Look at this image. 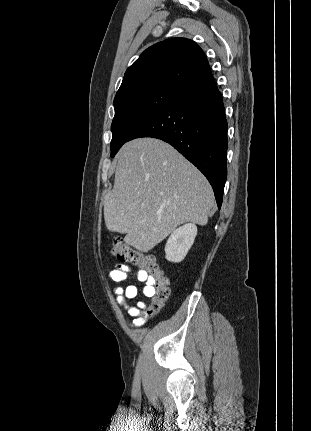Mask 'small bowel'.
<instances>
[{
    "instance_id": "small-bowel-1",
    "label": "small bowel",
    "mask_w": 311,
    "mask_h": 431,
    "mask_svg": "<svg viewBox=\"0 0 311 431\" xmlns=\"http://www.w3.org/2000/svg\"><path fill=\"white\" fill-rule=\"evenodd\" d=\"M130 276L135 277L139 282L144 283L143 294L146 297H151L153 293L152 281L145 270H135L126 265L118 264L110 273L109 278L114 283L126 281ZM116 301L119 306L123 307L127 313L133 318L132 325L141 327L147 319L146 304L143 301H137L134 305H130L128 300L135 299L138 295V288L129 284L125 287H114Z\"/></svg>"
}]
</instances>
